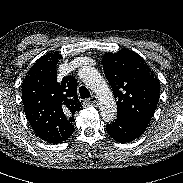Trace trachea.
Returning a JSON list of instances; mask_svg holds the SVG:
<instances>
[{
  "label": "trachea",
  "mask_w": 183,
  "mask_h": 183,
  "mask_svg": "<svg viewBox=\"0 0 183 183\" xmlns=\"http://www.w3.org/2000/svg\"><path fill=\"white\" fill-rule=\"evenodd\" d=\"M79 94L82 99H87L91 97L89 90L85 86H81L79 88Z\"/></svg>",
  "instance_id": "obj_1"
}]
</instances>
